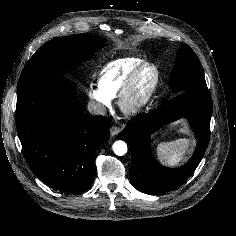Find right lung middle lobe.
<instances>
[{"label":"right lung middle lobe","mask_w":236,"mask_h":236,"mask_svg":"<svg viewBox=\"0 0 236 236\" xmlns=\"http://www.w3.org/2000/svg\"><path fill=\"white\" fill-rule=\"evenodd\" d=\"M105 42L106 39L89 34L57 37L46 42L27 62L18 86L37 79L57 77L70 65L87 61Z\"/></svg>","instance_id":"dd1d6c3e"}]
</instances>
